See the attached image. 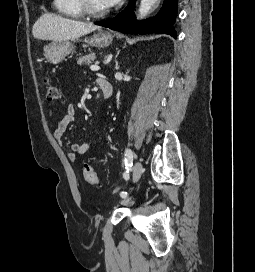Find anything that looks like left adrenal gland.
I'll use <instances>...</instances> for the list:
<instances>
[{"instance_id":"a2214340","label":"left adrenal gland","mask_w":255,"mask_h":272,"mask_svg":"<svg viewBox=\"0 0 255 272\" xmlns=\"http://www.w3.org/2000/svg\"><path fill=\"white\" fill-rule=\"evenodd\" d=\"M116 69H119V65L118 62L116 61Z\"/></svg>"}]
</instances>
